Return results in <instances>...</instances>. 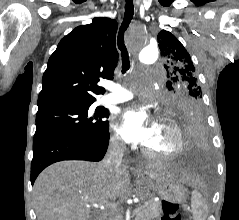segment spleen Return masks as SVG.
Instances as JSON below:
<instances>
[{
    "instance_id": "obj_1",
    "label": "spleen",
    "mask_w": 239,
    "mask_h": 220,
    "mask_svg": "<svg viewBox=\"0 0 239 220\" xmlns=\"http://www.w3.org/2000/svg\"><path fill=\"white\" fill-rule=\"evenodd\" d=\"M191 208L194 220H206L208 207L201 193L196 189L192 192Z\"/></svg>"
}]
</instances>
